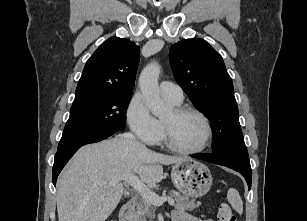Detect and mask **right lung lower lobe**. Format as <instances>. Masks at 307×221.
Returning a JSON list of instances; mask_svg holds the SVG:
<instances>
[{"mask_svg": "<svg viewBox=\"0 0 307 221\" xmlns=\"http://www.w3.org/2000/svg\"><path fill=\"white\" fill-rule=\"evenodd\" d=\"M114 133H109V134H104L100 136H92L88 138H84L80 141L74 142L72 144L63 146L58 148V151L55 155L54 159V165H53V184L54 186L56 185L57 177L63 167L66 165V163L69 161V159L74 155V153L82 146L89 144V143H94V142H99Z\"/></svg>", "mask_w": 307, "mask_h": 221, "instance_id": "1", "label": "right lung lower lobe"}]
</instances>
